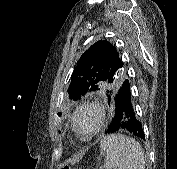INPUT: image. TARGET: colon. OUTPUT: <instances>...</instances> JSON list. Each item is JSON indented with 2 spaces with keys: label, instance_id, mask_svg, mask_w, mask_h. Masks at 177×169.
<instances>
[{
  "label": "colon",
  "instance_id": "colon-1",
  "mask_svg": "<svg viewBox=\"0 0 177 169\" xmlns=\"http://www.w3.org/2000/svg\"><path fill=\"white\" fill-rule=\"evenodd\" d=\"M62 169H75V168H71V167H68V166H64ZM76 169H81V168H76Z\"/></svg>",
  "mask_w": 177,
  "mask_h": 169
}]
</instances>
